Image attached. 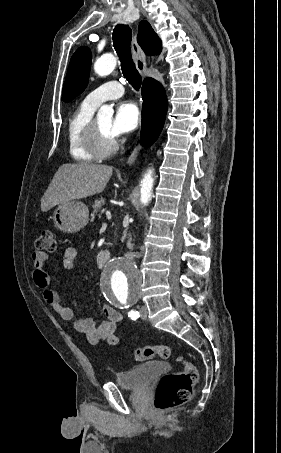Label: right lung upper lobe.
I'll return each mask as SVG.
<instances>
[{
	"mask_svg": "<svg viewBox=\"0 0 281 453\" xmlns=\"http://www.w3.org/2000/svg\"><path fill=\"white\" fill-rule=\"evenodd\" d=\"M137 41L148 55L161 52V40L147 21H141L138 27Z\"/></svg>",
	"mask_w": 281,
	"mask_h": 453,
	"instance_id": "1",
	"label": "right lung upper lobe"
}]
</instances>
